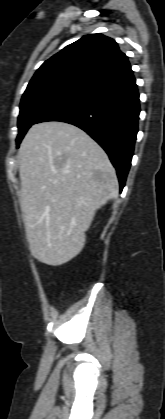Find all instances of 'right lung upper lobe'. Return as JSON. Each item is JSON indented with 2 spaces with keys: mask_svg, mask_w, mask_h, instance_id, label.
<instances>
[{
  "mask_svg": "<svg viewBox=\"0 0 165 419\" xmlns=\"http://www.w3.org/2000/svg\"><path fill=\"white\" fill-rule=\"evenodd\" d=\"M132 72L118 44L102 34H90L45 61L25 93L61 86L90 93Z\"/></svg>",
  "mask_w": 165,
  "mask_h": 419,
  "instance_id": "cb5924a9",
  "label": "right lung upper lobe"
}]
</instances>
